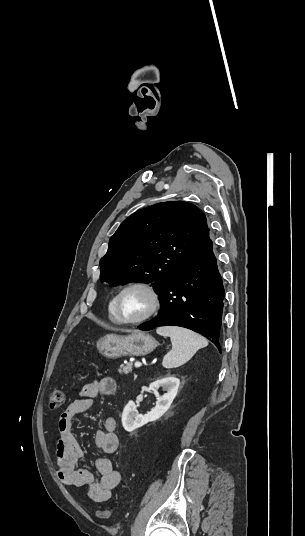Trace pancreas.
Returning a JSON list of instances; mask_svg holds the SVG:
<instances>
[{
	"instance_id": "pancreas-1",
	"label": "pancreas",
	"mask_w": 305,
	"mask_h": 536,
	"mask_svg": "<svg viewBox=\"0 0 305 536\" xmlns=\"http://www.w3.org/2000/svg\"><path fill=\"white\" fill-rule=\"evenodd\" d=\"M132 366V362H128V364H121L118 370L119 374H130V372H133Z\"/></svg>"
}]
</instances>
